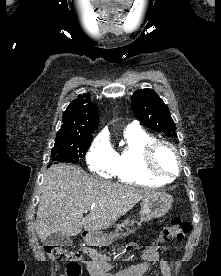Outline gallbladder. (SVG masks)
<instances>
[{"instance_id":"obj_1","label":"gallbladder","mask_w":221,"mask_h":276,"mask_svg":"<svg viewBox=\"0 0 221 276\" xmlns=\"http://www.w3.org/2000/svg\"><path fill=\"white\" fill-rule=\"evenodd\" d=\"M45 244L56 247L70 246L72 245V240L69 236L63 235L60 232H55L46 238Z\"/></svg>"}]
</instances>
